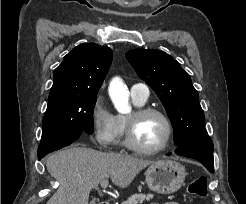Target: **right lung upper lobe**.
Returning a JSON list of instances; mask_svg holds the SVG:
<instances>
[{"mask_svg": "<svg viewBox=\"0 0 246 204\" xmlns=\"http://www.w3.org/2000/svg\"><path fill=\"white\" fill-rule=\"evenodd\" d=\"M112 50L94 43L72 49L54 70L49 101L83 95H97L112 62Z\"/></svg>", "mask_w": 246, "mask_h": 204, "instance_id": "right-lung-upper-lobe-1", "label": "right lung upper lobe"}]
</instances>
